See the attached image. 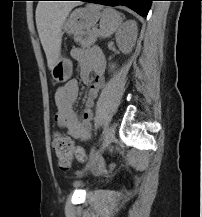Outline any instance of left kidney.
Wrapping results in <instances>:
<instances>
[{
	"instance_id": "5707ae66",
	"label": "left kidney",
	"mask_w": 202,
	"mask_h": 217,
	"mask_svg": "<svg viewBox=\"0 0 202 217\" xmlns=\"http://www.w3.org/2000/svg\"><path fill=\"white\" fill-rule=\"evenodd\" d=\"M137 38V25L133 20L126 21L122 30L116 34V42L119 49L124 53L128 54L132 51ZM114 65H111V69Z\"/></svg>"
}]
</instances>
